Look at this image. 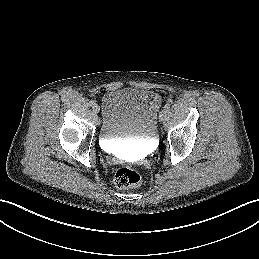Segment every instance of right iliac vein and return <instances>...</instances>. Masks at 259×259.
Wrapping results in <instances>:
<instances>
[{"instance_id": "obj_1", "label": "right iliac vein", "mask_w": 259, "mask_h": 259, "mask_svg": "<svg viewBox=\"0 0 259 259\" xmlns=\"http://www.w3.org/2000/svg\"><path fill=\"white\" fill-rule=\"evenodd\" d=\"M99 110H100L99 106L95 104V105L93 106V111H94L95 113H98Z\"/></svg>"}]
</instances>
